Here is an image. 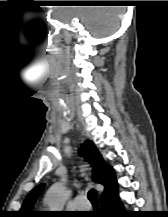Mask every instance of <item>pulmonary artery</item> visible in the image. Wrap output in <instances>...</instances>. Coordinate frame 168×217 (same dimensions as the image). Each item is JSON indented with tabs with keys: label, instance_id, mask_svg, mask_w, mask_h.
<instances>
[{
	"label": "pulmonary artery",
	"instance_id": "e3ab8cb5",
	"mask_svg": "<svg viewBox=\"0 0 168 217\" xmlns=\"http://www.w3.org/2000/svg\"><path fill=\"white\" fill-rule=\"evenodd\" d=\"M74 204L77 210H85L89 208L86 196L81 193L75 196Z\"/></svg>",
	"mask_w": 168,
	"mask_h": 217
}]
</instances>
